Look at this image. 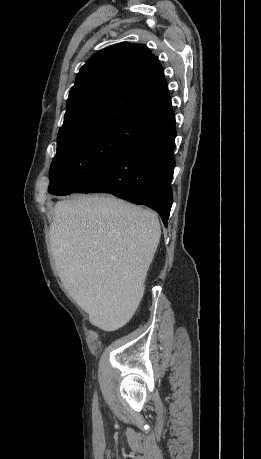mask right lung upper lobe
Instances as JSON below:
<instances>
[{
    "instance_id": "1",
    "label": "right lung upper lobe",
    "mask_w": 261,
    "mask_h": 459,
    "mask_svg": "<svg viewBox=\"0 0 261 459\" xmlns=\"http://www.w3.org/2000/svg\"><path fill=\"white\" fill-rule=\"evenodd\" d=\"M172 113L158 58L145 45L123 42L99 51L82 66L58 139L118 121L151 126Z\"/></svg>"
}]
</instances>
